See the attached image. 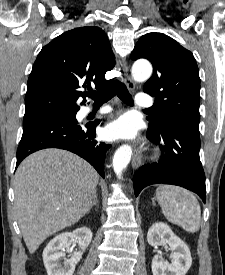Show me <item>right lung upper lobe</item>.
<instances>
[{
    "label": "right lung upper lobe",
    "mask_w": 225,
    "mask_h": 275,
    "mask_svg": "<svg viewBox=\"0 0 225 275\" xmlns=\"http://www.w3.org/2000/svg\"><path fill=\"white\" fill-rule=\"evenodd\" d=\"M115 66L104 31L95 26L63 33L43 47L27 82L25 115L56 110H79V88L106 86L107 71ZM85 102V98L82 104Z\"/></svg>",
    "instance_id": "cb5924a9"
}]
</instances>
